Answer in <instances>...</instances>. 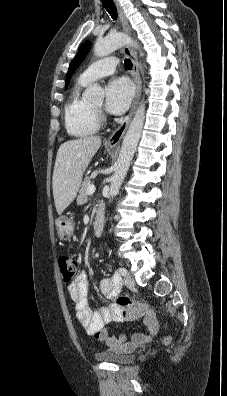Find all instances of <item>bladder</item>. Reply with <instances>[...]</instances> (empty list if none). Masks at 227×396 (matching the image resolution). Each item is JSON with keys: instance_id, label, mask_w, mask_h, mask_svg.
Instances as JSON below:
<instances>
[{"instance_id": "31cf9c89", "label": "bladder", "mask_w": 227, "mask_h": 396, "mask_svg": "<svg viewBox=\"0 0 227 396\" xmlns=\"http://www.w3.org/2000/svg\"><path fill=\"white\" fill-rule=\"evenodd\" d=\"M95 358L99 361L124 365L134 360V354L132 352L105 351L96 353Z\"/></svg>"}]
</instances>
